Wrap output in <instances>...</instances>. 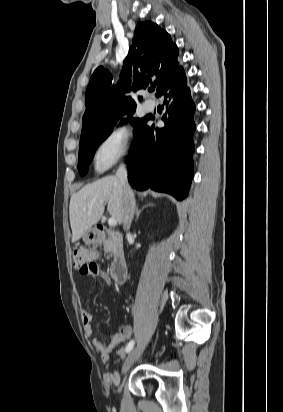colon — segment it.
Here are the masks:
<instances>
[{
    "label": "colon",
    "instance_id": "1",
    "mask_svg": "<svg viewBox=\"0 0 283 412\" xmlns=\"http://www.w3.org/2000/svg\"><path fill=\"white\" fill-rule=\"evenodd\" d=\"M72 260L81 274L94 275L101 271L100 265L94 260L90 250L75 248L72 251Z\"/></svg>",
    "mask_w": 283,
    "mask_h": 412
}]
</instances>
